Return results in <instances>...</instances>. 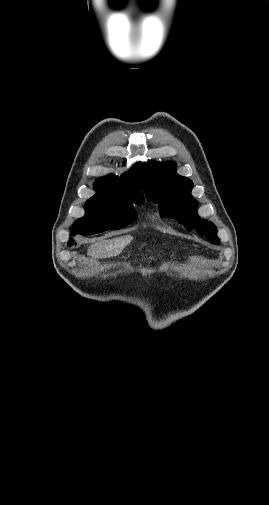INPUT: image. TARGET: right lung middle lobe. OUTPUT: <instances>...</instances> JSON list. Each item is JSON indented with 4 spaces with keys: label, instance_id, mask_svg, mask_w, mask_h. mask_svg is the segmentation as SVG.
Returning a JSON list of instances; mask_svg holds the SVG:
<instances>
[{
    "label": "right lung middle lobe",
    "instance_id": "1",
    "mask_svg": "<svg viewBox=\"0 0 269 505\" xmlns=\"http://www.w3.org/2000/svg\"><path fill=\"white\" fill-rule=\"evenodd\" d=\"M133 202L141 204L142 200H88L84 217L78 219L71 227V234L92 235L111 229H121L132 223L137 215ZM74 243L70 238L68 245Z\"/></svg>",
    "mask_w": 269,
    "mask_h": 505
}]
</instances>
